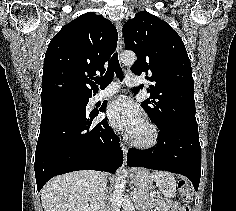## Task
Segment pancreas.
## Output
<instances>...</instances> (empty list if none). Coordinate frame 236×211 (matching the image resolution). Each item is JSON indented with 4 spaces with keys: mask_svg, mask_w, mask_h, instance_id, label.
<instances>
[{
    "mask_svg": "<svg viewBox=\"0 0 236 211\" xmlns=\"http://www.w3.org/2000/svg\"><path fill=\"white\" fill-rule=\"evenodd\" d=\"M136 196L135 206L141 211H152L153 207L161 206V200L150 197L144 190L138 189L134 192Z\"/></svg>",
    "mask_w": 236,
    "mask_h": 211,
    "instance_id": "obj_1",
    "label": "pancreas"
}]
</instances>
